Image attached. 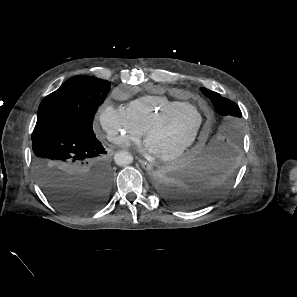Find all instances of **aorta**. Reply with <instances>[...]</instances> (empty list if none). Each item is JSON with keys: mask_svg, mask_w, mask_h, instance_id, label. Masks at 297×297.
<instances>
[{"mask_svg": "<svg viewBox=\"0 0 297 297\" xmlns=\"http://www.w3.org/2000/svg\"><path fill=\"white\" fill-rule=\"evenodd\" d=\"M114 161L119 166H125L133 162V157L127 151H120L115 154Z\"/></svg>", "mask_w": 297, "mask_h": 297, "instance_id": "762f6f07", "label": "aorta"}]
</instances>
